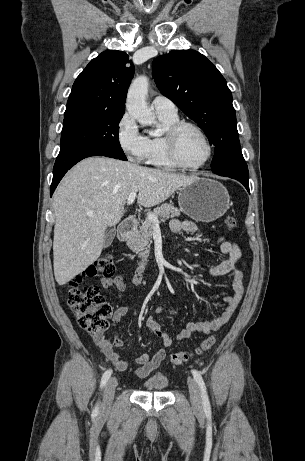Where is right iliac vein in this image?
<instances>
[{"mask_svg": "<svg viewBox=\"0 0 305 461\" xmlns=\"http://www.w3.org/2000/svg\"><path fill=\"white\" fill-rule=\"evenodd\" d=\"M116 386H117V379L115 377L110 378L104 390V396H103V408L104 409H108L111 406L113 398H114Z\"/></svg>", "mask_w": 305, "mask_h": 461, "instance_id": "1", "label": "right iliac vein"}]
</instances>
